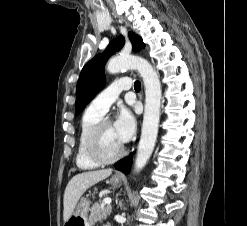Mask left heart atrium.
Segmentation results:
<instances>
[{
    "mask_svg": "<svg viewBox=\"0 0 247 226\" xmlns=\"http://www.w3.org/2000/svg\"><path fill=\"white\" fill-rule=\"evenodd\" d=\"M135 126L133 114L128 108L123 107L113 124L114 132L122 144L132 138L135 132Z\"/></svg>",
    "mask_w": 247,
    "mask_h": 226,
    "instance_id": "obj_1",
    "label": "left heart atrium"
}]
</instances>
